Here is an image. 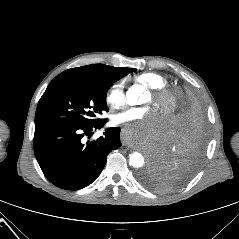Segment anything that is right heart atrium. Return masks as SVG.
Here are the masks:
<instances>
[{
	"label": "right heart atrium",
	"instance_id": "right-heart-atrium-1",
	"mask_svg": "<svg viewBox=\"0 0 239 239\" xmlns=\"http://www.w3.org/2000/svg\"><path fill=\"white\" fill-rule=\"evenodd\" d=\"M105 101L112 109L120 108L125 102V83L116 81L110 85L105 94Z\"/></svg>",
	"mask_w": 239,
	"mask_h": 239
}]
</instances>
